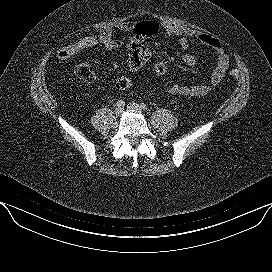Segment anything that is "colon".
<instances>
[{
	"label": "colon",
	"instance_id": "colon-1",
	"mask_svg": "<svg viewBox=\"0 0 272 272\" xmlns=\"http://www.w3.org/2000/svg\"><path fill=\"white\" fill-rule=\"evenodd\" d=\"M158 25L152 21L141 22L135 27V34L139 36L142 40L145 37H150L157 33ZM103 46L104 48L111 46V41L102 35L100 32L98 33H88L82 36H79L74 41L69 43L68 45L60 47L56 56L60 60H67L72 58L73 56L80 54L84 51L92 49L97 46ZM167 73V65L163 61H157L152 70V75L154 77H163ZM75 77L83 82H90L94 78V69L91 65L83 63L79 64L74 69ZM229 75L232 78H237L239 76V72L235 69L229 72ZM133 79L129 77H121L116 81V88L119 90H125L130 88L133 85Z\"/></svg>",
	"mask_w": 272,
	"mask_h": 272
}]
</instances>
